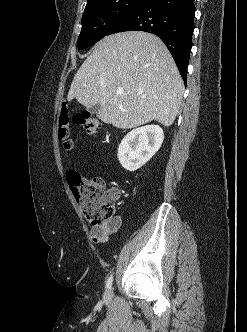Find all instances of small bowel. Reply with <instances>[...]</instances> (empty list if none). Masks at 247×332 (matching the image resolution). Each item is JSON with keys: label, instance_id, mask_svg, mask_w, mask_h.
I'll return each instance as SVG.
<instances>
[{"label": "small bowel", "instance_id": "c3829d8e", "mask_svg": "<svg viewBox=\"0 0 247 332\" xmlns=\"http://www.w3.org/2000/svg\"><path fill=\"white\" fill-rule=\"evenodd\" d=\"M113 193L115 194V198L120 197V190L117 188L112 189ZM122 224V220L119 216L113 217L107 223L102 225H94L90 230V235L92 240L95 243H104L108 241L109 237L120 229Z\"/></svg>", "mask_w": 247, "mask_h": 332}]
</instances>
